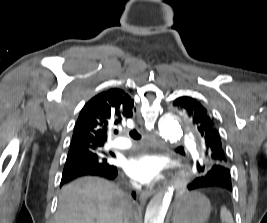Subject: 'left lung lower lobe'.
Returning a JSON list of instances; mask_svg holds the SVG:
<instances>
[{
  "label": "left lung lower lobe",
  "mask_w": 267,
  "mask_h": 223,
  "mask_svg": "<svg viewBox=\"0 0 267 223\" xmlns=\"http://www.w3.org/2000/svg\"><path fill=\"white\" fill-rule=\"evenodd\" d=\"M189 192H203L213 195H230V191L235 187L232 173L225 171H208V173H190L186 178Z\"/></svg>",
  "instance_id": "left-lung-lower-lobe-1"
}]
</instances>
